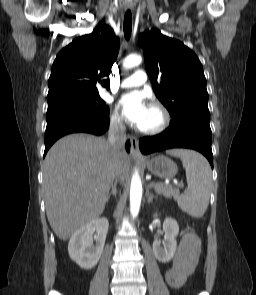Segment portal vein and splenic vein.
Listing matches in <instances>:
<instances>
[{
    "mask_svg": "<svg viewBox=\"0 0 256 295\" xmlns=\"http://www.w3.org/2000/svg\"><path fill=\"white\" fill-rule=\"evenodd\" d=\"M150 185V184H149ZM179 187H183L184 186V184L183 183H178L177 184Z\"/></svg>",
    "mask_w": 256,
    "mask_h": 295,
    "instance_id": "obj_1",
    "label": "portal vein and splenic vein"
}]
</instances>
